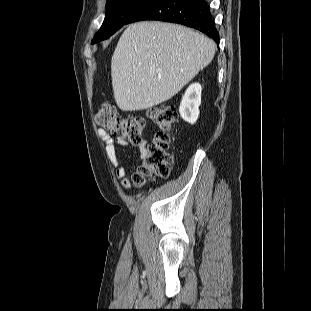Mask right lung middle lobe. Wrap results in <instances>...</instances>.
Listing matches in <instances>:
<instances>
[{
	"mask_svg": "<svg viewBox=\"0 0 311 311\" xmlns=\"http://www.w3.org/2000/svg\"><path fill=\"white\" fill-rule=\"evenodd\" d=\"M154 0H107L106 16L102 27L92 40V44L105 40L113 35L140 9Z\"/></svg>",
	"mask_w": 311,
	"mask_h": 311,
	"instance_id": "1",
	"label": "right lung middle lobe"
}]
</instances>
